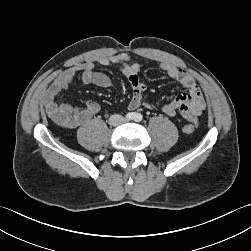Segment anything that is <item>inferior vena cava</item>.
I'll return each instance as SVG.
<instances>
[{"label":"inferior vena cava","instance_id":"obj_1","mask_svg":"<svg viewBox=\"0 0 251 251\" xmlns=\"http://www.w3.org/2000/svg\"><path fill=\"white\" fill-rule=\"evenodd\" d=\"M125 121L124 117L119 114L111 115L109 118V124L112 126L121 125Z\"/></svg>","mask_w":251,"mask_h":251}]
</instances>
